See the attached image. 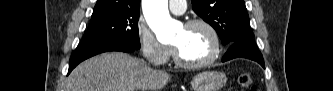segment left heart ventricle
I'll use <instances>...</instances> for the list:
<instances>
[{"label":"left heart ventricle","mask_w":333,"mask_h":91,"mask_svg":"<svg viewBox=\"0 0 333 91\" xmlns=\"http://www.w3.org/2000/svg\"><path fill=\"white\" fill-rule=\"evenodd\" d=\"M173 45L179 49L185 60L191 62L205 60L213 52V40L209 32L200 26L182 27L177 33Z\"/></svg>","instance_id":"1"}]
</instances>
